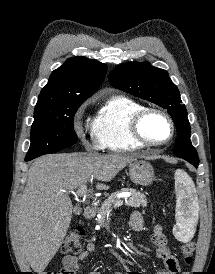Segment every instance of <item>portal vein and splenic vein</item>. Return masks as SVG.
<instances>
[{
  "instance_id": "portal-vein-and-splenic-vein-1",
  "label": "portal vein and splenic vein",
  "mask_w": 215,
  "mask_h": 274,
  "mask_svg": "<svg viewBox=\"0 0 215 274\" xmlns=\"http://www.w3.org/2000/svg\"><path fill=\"white\" fill-rule=\"evenodd\" d=\"M75 197H83V198H87L90 197V194L87 191V186L86 184H82L79 189L76 192H72ZM123 204V201H118L114 204V207H119Z\"/></svg>"
}]
</instances>
